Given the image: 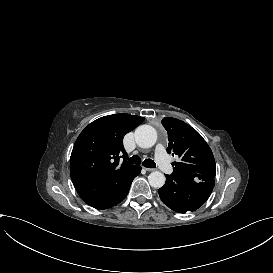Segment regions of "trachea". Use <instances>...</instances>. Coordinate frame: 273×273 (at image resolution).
I'll use <instances>...</instances> for the list:
<instances>
[{
  "mask_svg": "<svg viewBox=\"0 0 273 273\" xmlns=\"http://www.w3.org/2000/svg\"><path fill=\"white\" fill-rule=\"evenodd\" d=\"M129 162L132 163V164H137V165H140L141 164V158L137 155H134L132 156L130 159H129ZM142 165L146 168H155L156 167V164L153 160L147 158L143 161Z\"/></svg>",
  "mask_w": 273,
  "mask_h": 273,
  "instance_id": "obj_1",
  "label": "trachea"
}]
</instances>
